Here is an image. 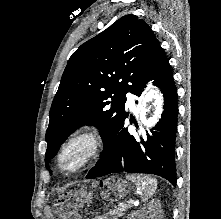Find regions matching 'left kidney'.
I'll return each mask as SVG.
<instances>
[{"label":"left kidney","mask_w":221,"mask_h":219,"mask_svg":"<svg viewBox=\"0 0 221 219\" xmlns=\"http://www.w3.org/2000/svg\"><path fill=\"white\" fill-rule=\"evenodd\" d=\"M163 219L159 200H152L140 210L133 212L129 219Z\"/></svg>","instance_id":"5707ae66"}]
</instances>
